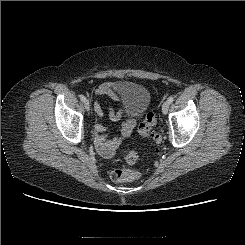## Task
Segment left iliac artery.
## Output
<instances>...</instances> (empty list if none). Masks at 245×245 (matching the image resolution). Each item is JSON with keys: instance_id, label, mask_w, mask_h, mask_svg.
Wrapping results in <instances>:
<instances>
[{"instance_id": "1", "label": "left iliac artery", "mask_w": 245, "mask_h": 245, "mask_svg": "<svg viewBox=\"0 0 245 245\" xmlns=\"http://www.w3.org/2000/svg\"><path fill=\"white\" fill-rule=\"evenodd\" d=\"M173 101H174V97H173V96H170V97L168 98V100H167V102H168L169 104H171Z\"/></svg>"}]
</instances>
